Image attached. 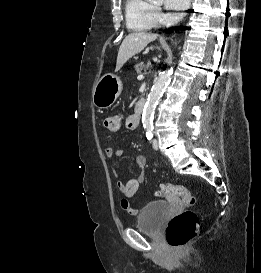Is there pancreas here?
<instances>
[{
  "mask_svg": "<svg viewBox=\"0 0 261 273\" xmlns=\"http://www.w3.org/2000/svg\"><path fill=\"white\" fill-rule=\"evenodd\" d=\"M135 70H136L137 74H141L142 70H146V66L144 65L143 62L137 63L135 65Z\"/></svg>",
  "mask_w": 261,
  "mask_h": 273,
  "instance_id": "pancreas-1",
  "label": "pancreas"
}]
</instances>
